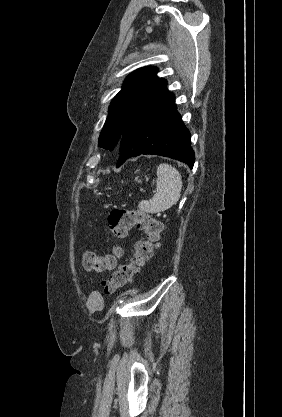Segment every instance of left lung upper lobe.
I'll list each match as a JSON object with an SVG mask.
<instances>
[{
	"mask_svg": "<svg viewBox=\"0 0 282 417\" xmlns=\"http://www.w3.org/2000/svg\"><path fill=\"white\" fill-rule=\"evenodd\" d=\"M156 67H143L125 80L122 90L112 100L108 117L99 137V146L113 150L119 143L124 125L131 113L163 82Z\"/></svg>",
	"mask_w": 282,
	"mask_h": 417,
	"instance_id": "1",
	"label": "left lung upper lobe"
}]
</instances>
